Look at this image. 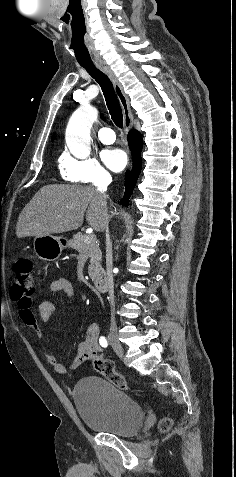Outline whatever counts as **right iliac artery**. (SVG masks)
Returning a JSON list of instances; mask_svg holds the SVG:
<instances>
[{"mask_svg":"<svg viewBox=\"0 0 236 477\" xmlns=\"http://www.w3.org/2000/svg\"><path fill=\"white\" fill-rule=\"evenodd\" d=\"M99 342H100L101 346L104 347V348H106L108 346V342H107V340L104 336H101L99 338Z\"/></svg>","mask_w":236,"mask_h":477,"instance_id":"obj_1","label":"right iliac artery"}]
</instances>
